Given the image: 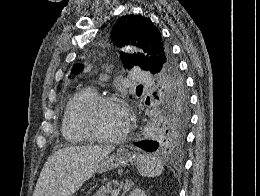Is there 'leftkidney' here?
Here are the masks:
<instances>
[{"mask_svg": "<svg viewBox=\"0 0 260 196\" xmlns=\"http://www.w3.org/2000/svg\"><path fill=\"white\" fill-rule=\"evenodd\" d=\"M130 196H146L145 192L143 190H139V188H135V190H132Z\"/></svg>", "mask_w": 260, "mask_h": 196, "instance_id": "5707ae66", "label": "left kidney"}]
</instances>
